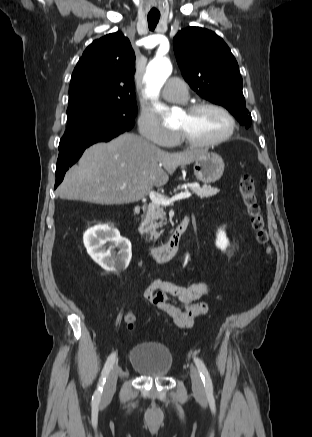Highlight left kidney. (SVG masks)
Here are the masks:
<instances>
[{
	"label": "left kidney",
	"mask_w": 312,
	"mask_h": 437,
	"mask_svg": "<svg viewBox=\"0 0 312 437\" xmlns=\"http://www.w3.org/2000/svg\"><path fill=\"white\" fill-rule=\"evenodd\" d=\"M228 245H229V241L226 237L225 232L222 229L218 230L217 237H216L217 248L221 250H225Z\"/></svg>",
	"instance_id": "left-kidney-1"
}]
</instances>
